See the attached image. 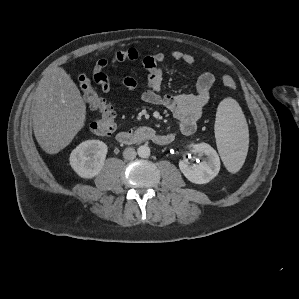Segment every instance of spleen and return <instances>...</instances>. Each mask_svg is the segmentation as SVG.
<instances>
[{"instance_id": "3e777b00", "label": "spleen", "mask_w": 299, "mask_h": 299, "mask_svg": "<svg viewBox=\"0 0 299 299\" xmlns=\"http://www.w3.org/2000/svg\"><path fill=\"white\" fill-rule=\"evenodd\" d=\"M215 138L221 159L231 173L243 165L248 150V126L238 102L223 99L216 113Z\"/></svg>"}]
</instances>
